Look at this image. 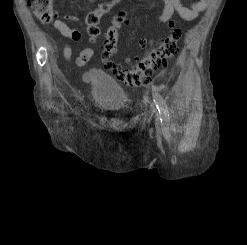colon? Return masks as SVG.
Wrapping results in <instances>:
<instances>
[{"instance_id": "colon-1", "label": "colon", "mask_w": 247, "mask_h": 245, "mask_svg": "<svg viewBox=\"0 0 247 245\" xmlns=\"http://www.w3.org/2000/svg\"><path fill=\"white\" fill-rule=\"evenodd\" d=\"M28 4L41 22L48 23L52 20L53 0H28ZM110 7L111 4H102L86 15L87 32L91 39H96L100 34V20ZM180 35V30L173 26L165 36L156 42L143 40L141 45L144 48V55L140 59L136 58L135 61L128 60V67H123L111 59L117 50L118 34L114 31H107L101 61L105 68L112 70L116 77L125 84L132 87L145 86L150 82L152 76L162 71L176 55Z\"/></svg>"}]
</instances>
